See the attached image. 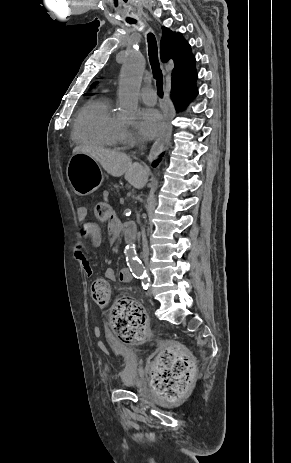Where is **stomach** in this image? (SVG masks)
Wrapping results in <instances>:
<instances>
[{"label": "stomach", "instance_id": "stomach-1", "mask_svg": "<svg viewBox=\"0 0 291 463\" xmlns=\"http://www.w3.org/2000/svg\"><path fill=\"white\" fill-rule=\"evenodd\" d=\"M66 173L74 192L82 196L92 193L98 187L101 178L97 161L85 153L72 155Z\"/></svg>", "mask_w": 291, "mask_h": 463}]
</instances>
